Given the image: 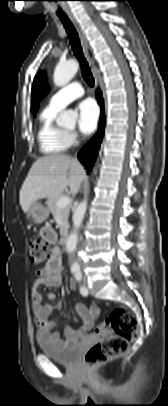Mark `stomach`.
<instances>
[{
	"mask_svg": "<svg viewBox=\"0 0 168 406\" xmlns=\"http://www.w3.org/2000/svg\"><path fill=\"white\" fill-rule=\"evenodd\" d=\"M49 216V209L39 202H35L26 213V218L35 223H42Z\"/></svg>",
	"mask_w": 168,
	"mask_h": 406,
	"instance_id": "obj_1",
	"label": "stomach"
}]
</instances>
